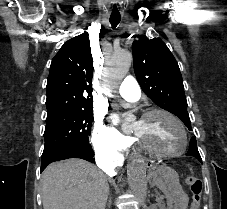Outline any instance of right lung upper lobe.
I'll use <instances>...</instances> for the list:
<instances>
[{
    "label": "right lung upper lobe",
    "mask_w": 227,
    "mask_h": 209,
    "mask_svg": "<svg viewBox=\"0 0 227 209\" xmlns=\"http://www.w3.org/2000/svg\"><path fill=\"white\" fill-rule=\"evenodd\" d=\"M93 60L86 33L63 44L52 59L47 82L48 106L62 98H92Z\"/></svg>",
    "instance_id": "cb5924a9"
}]
</instances>
